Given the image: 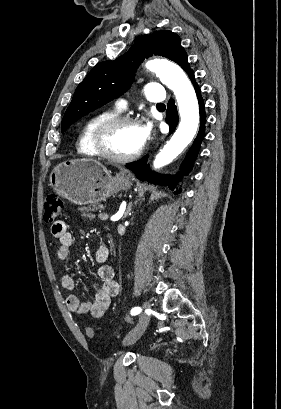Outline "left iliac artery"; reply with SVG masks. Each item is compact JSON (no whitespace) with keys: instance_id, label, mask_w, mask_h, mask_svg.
Instances as JSON below:
<instances>
[{"instance_id":"left-iliac-artery-1","label":"left iliac artery","mask_w":281,"mask_h":409,"mask_svg":"<svg viewBox=\"0 0 281 409\" xmlns=\"http://www.w3.org/2000/svg\"><path fill=\"white\" fill-rule=\"evenodd\" d=\"M141 312V308L140 307H135L131 310V315H137Z\"/></svg>"}]
</instances>
